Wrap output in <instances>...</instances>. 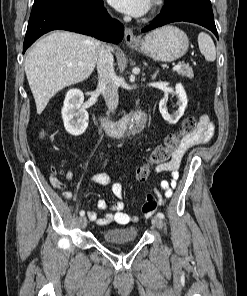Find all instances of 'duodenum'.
Returning a JSON list of instances; mask_svg holds the SVG:
<instances>
[{
    "instance_id": "duodenum-1",
    "label": "duodenum",
    "mask_w": 247,
    "mask_h": 296,
    "mask_svg": "<svg viewBox=\"0 0 247 296\" xmlns=\"http://www.w3.org/2000/svg\"><path fill=\"white\" fill-rule=\"evenodd\" d=\"M100 120L109 130V132L115 137H121L125 135L131 126V116L124 117L120 120H112L108 117L101 116Z\"/></svg>"
}]
</instances>
